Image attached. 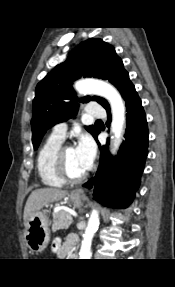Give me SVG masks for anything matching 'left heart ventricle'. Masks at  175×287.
Returning <instances> with one entry per match:
<instances>
[{
  "mask_svg": "<svg viewBox=\"0 0 175 287\" xmlns=\"http://www.w3.org/2000/svg\"><path fill=\"white\" fill-rule=\"evenodd\" d=\"M65 163L67 171L72 176H78L87 170L74 147L66 150Z\"/></svg>",
  "mask_w": 175,
  "mask_h": 287,
  "instance_id": "b2bd125f",
  "label": "left heart ventricle"
}]
</instances>
